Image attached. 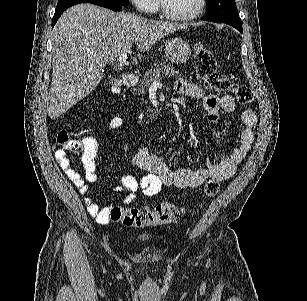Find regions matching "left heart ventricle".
Instances as JSON below:
<instances>
[{
	"instance_id": "b2bd125f",
	"label": "left heart ventricle",
	"mask_w": 307,
	"mask_h": 301,
	"mask_svg": "<svg viewBox=\"0 0 307 301\" xmlns=\"http://www.w3.org/2000/svg\"><path fill=\"white\" fill-rule=\"evenodd\" d=\"M198 0H165L167 11L170 13H185L195 11Z\"/></svg>"
}]
</instances>
